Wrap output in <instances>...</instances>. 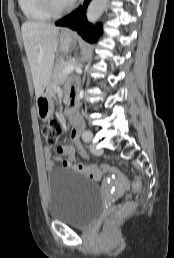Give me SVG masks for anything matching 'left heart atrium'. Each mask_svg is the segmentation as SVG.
I'll use <instances>...</instances> for the list:
<instances>
[{
	"label": "left heart atrium",
	"instance_id": "1",
	"mask_svg": "<svg viewBox=\"0 0 174 258\" xmlns=\"http://www.w3.org/2000/svg\"><path fill=\"white\" fill-rule=\"evenodd\" d=\"M74 1H76V0H69V2H74Z\"/></svg>",
	"mask_w": 174,
	"mask_h": 258
}]
</instances>
